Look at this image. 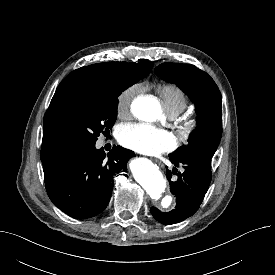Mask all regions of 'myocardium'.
<instances>
[{
  "label": "myocardium",
  "mask_w": 275,
  "mask_h": 275,
  "mask_svg": "<svg viewBox=\"0 0 275 275\" xmlns=\"http://www.w3.org/2000/svg\"><path fill=\"white\" fill-rule=\"evenodd\" d=\"M195 126V121L190 117L180 118L178 121V130L182 137L188 136Z\"/></svg>",
  "instance_id": "obj_1"
}]
</instances>
